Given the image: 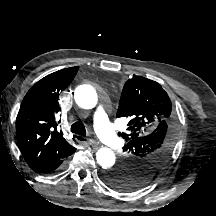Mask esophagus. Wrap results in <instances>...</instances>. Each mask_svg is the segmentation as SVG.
I'll return each instance as SVG.
<instances>
[{"label":"esophagus","mask_w":216,"mask_h":216,"mask_svg":"<svg viewBox=\"0 0 216 216\" xmlns=\"http://www.w3.org/2000/svg\"><path fill=\"white\" fill-rule=\"evenodd\" d=\"M75 139L77 142H85V143H88V144L93 145V146L99 145L94 139H91V138H84L82 136H76Z\"/></svg>","instance_id":"obj_1"}]
</instances>
